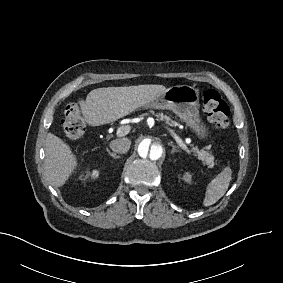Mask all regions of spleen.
<instances>
[{
	"label": "spleen",
	"instance_id": "spleen-1",
	"mask_svg": "<svg viewBox=\"0 0 283 283\" xmlns=\"http://www.w3.org/2000/svg\"><path fill=\"white\" fill-rule=\"evenodd\" d=\"M232 170L230 167L224 168L207 186L204 206L215 204L227 191L231 181Z\"/></svg>",
	"mask_w": 283,
	"mask_h": 283
}]
</instances>
